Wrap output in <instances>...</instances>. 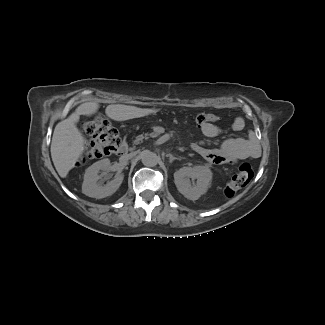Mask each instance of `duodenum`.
<instances>
[{
	"label": "duodenum",
	"instance_id": "410a0bca",
	"mask_svg": "<svg viewBox=\"0 0 325 325\" xmlns=\"http://www.w3.org/2000/svg\"><path fill=\"white\" fill-rule=\"evenodd\" d=\"M127 149H128L127 143L122 141L117 148V154L120 157H124L127 153Z\"/></svg>",
	"mask_w": 325,
	"mask_h": 325
}]
</instances>
